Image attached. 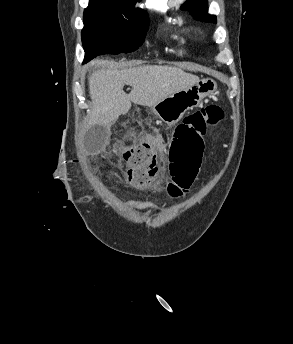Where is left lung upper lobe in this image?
I'll return each instance as SVG.
<instances>
[{
	"mask_svg": "<svg viewBox=\"0 0 293 344\" xmlns=\"http://www.w3.org/2000/svg\"><path fill=\"white\" fill-rule=\"evenodd\" d=\"M182 10H188L191 14L202 21L216 23V17L208 14L207 0H187L181 7Z\"/></svg>",
	"mask_w": 293,
	"mask_h": 344,
	"instance_id": "5c2ea615",
	"label": "left lung upper lobe"
}]
</instances>
